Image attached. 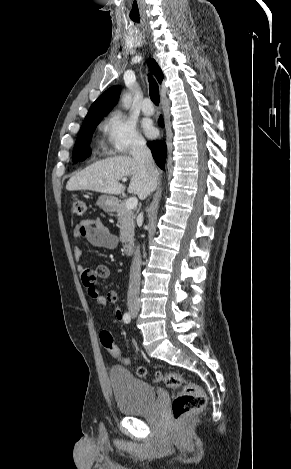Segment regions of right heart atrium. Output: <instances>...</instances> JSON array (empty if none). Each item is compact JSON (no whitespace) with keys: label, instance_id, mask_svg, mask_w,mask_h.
<instances>
[{"label":"right heart atrium","instance_id":"1","mask_svg":"<svg viewBox=\"0 0 291 469\" xmlns=\"http://www.w3.org/2000/svg\"><path fill=\"white\" fill-rule=\"evenodd\" d=\"M102 129L109 153L126 154L145 144L135 123L118 111H113L106 117Z\"/></svg>","mask_w":291,"mask_h":469}]
</instances>
